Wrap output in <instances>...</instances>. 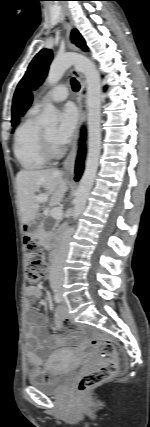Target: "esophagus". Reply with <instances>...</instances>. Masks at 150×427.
<instances>
[{
  "mask_svg": "<svg viewBox=\"0 0 150 427\" xmlns=\"http://www.w3.org/2000/svg\"><path fill=\"white\" fill-rule=\"evenodd\" d=\"M64 16H65V26H66V36H67V47L69 50H76V47L72 44L70 41V33L73 29V22L67 13L66 10H64ZM71 71L75 74V76L79 79L81 88L79 91V104H80V122H79V128L77 130L74 142L72 144L71 150L69 154L67 155L65 162H64V174L68 178H72L75 170V161L77 157L78 147H79V140H80V131L81 128L85 124L86 120V111H85V89H86V82L83 77V75L76 70L74 67L71 69Z\"/></svg>",
  "mask_w": 150,
  "mask_h": 427,
  "instance_id": "obj_1",
  "label": "esophagus"
}]
</instances>
